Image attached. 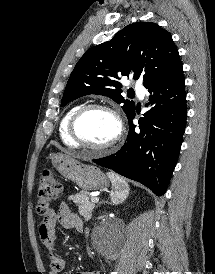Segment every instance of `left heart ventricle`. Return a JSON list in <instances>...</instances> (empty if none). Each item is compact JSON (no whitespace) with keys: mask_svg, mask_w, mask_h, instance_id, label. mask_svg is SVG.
<instances>
[{"mask_svg":"<svg viewBox=\"0 0 215 274\" xmlns=\"http://www.w3.org/2000/svg\"><path fill=\"white\" fill-rule=\"evenodd\" d=\"M81 137L93 145H103L111 141L117 133L115 118L103 110L87 112L78 123Z\"/></svg>","mask_w":215,"mask_h":274,"instance_id":"left-heart-ventricle-1","label":"left heart ventricle"}]
</instances>
